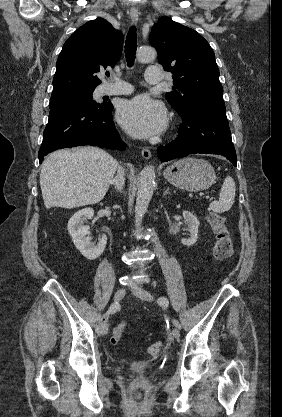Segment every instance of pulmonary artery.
Here are the masks:
<instances>
[{
    "instance_id": "obj_1",
    "label": "pulmonary artery",
    "mask_w": 282,
    "mask_h": 417,
    "mask_svg": "<svg viewBox=\"0 0 282 417\" xmlns=\"http://www.w3.org/2000/svg\"><path fill=\"white\" fill-rule=\"evenodd\" d=\"M161 73L160 65H148L147 71L145 73L146 83H163L164 76ZM113 80L123 83L122 86H108L104 89L105 94L107 95H125L132 92V86L121 81L118 78H113Z\"/></svg>"
}]
</instances>
